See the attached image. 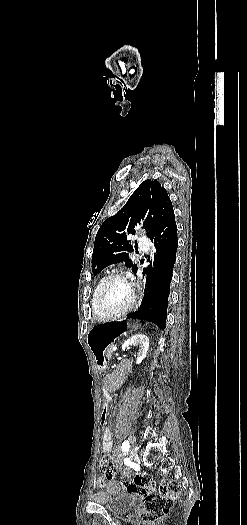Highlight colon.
<instances>
[{"mask_svg":"<svg viewBox=\"0 0 247 525\" xmlns=\"http://www.w3.org/2000/svg\"><path fill=\"white\" fill-rule=\"evenodd\" d=\"M103 388L108 386L106 381L101 383ZM100 409L104 412L100 414L101 428L106 429L107 415L110 412L109 404L102 402ZM99 470L102 476L107 479L116 477V468L109 455L101 458ZM122 487L131 495L141 497L143 507L141 509V520L147 523H158L168 515L172 507L173 499L179 498L182 494V487L177 481L156 482L148 474H135L130 481L124 482Z\"/></svg>","mask_w":247,"mask_h":525,"instance_id":"5ec220e1","label":"colon"}]
</instances>
